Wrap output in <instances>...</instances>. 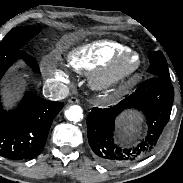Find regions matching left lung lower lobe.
<instances>
[{"instance_id": "0a47b994", "label": "left lung lower lobe", "mask_w": 183, "mask_h": 183, "mask_svg": "<svg viewBox=\"0 0 183 183\" xmlns=\"http://www.w3.org/2000/svg\"><path fill=\"white\" fill-rule=\"evenodd\" d=\"M174 99L170 78L154 76L135 92L111 108H93L87 116L88 141L97 159L107 165H119L151 153L166 126ZM141 110L146 117L148 134L135 147H121L114 142L116 117L125 109Z\"/></svg>"}]
</instances>
